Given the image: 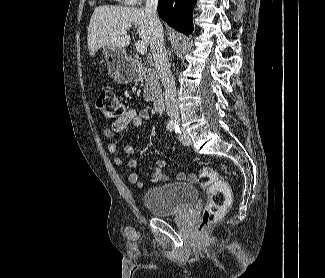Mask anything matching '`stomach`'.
I'll use <instances>...</instances> for the list:
<instances>
[{
    "mask_svg": "<svg viewBox=\"0 0 325 278\" xmlns=\"http://www.w3.org/2000/svg\"><path fill=\"white\" fill-rule=\"evenodd\" d=\"M102 53L107 62L108 70L117 83L126 84L134 79L135 70L124 48L107 46L102 48Z\"/></svg>",
    "mask_w": 325,
    "mask_h": 278,
    "instance_id": "stomach-1",
    "label": "stomach"
}]
</instances>
